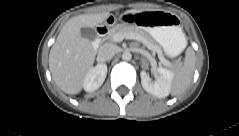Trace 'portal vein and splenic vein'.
Listing matches in <instances>:
<instances>
[{
  "label": "portal vein and splenic vein",
  "instance_id": "portal-vein-and-splenic-vein-1",
  "mask_svg": "<svg viewBox=\"0 0 239 136\" xmlns=\"http://www.w3.org/2000/svg\"><path fill=\"white\" fill-rule=\"evenodd\" d=\"M123 39L139 40V41L143 42L144 44H146L147 47L150 50L155 51L151 46L148 45L147 41L144 38H142L141 36H139V35L117 33V34H115V36L113 38L114 42H122ZM165 64H169V63L165 61Z\"/></svg>",
  "mask_w": 239,
  "mask_h": 136
}]
</instances>
